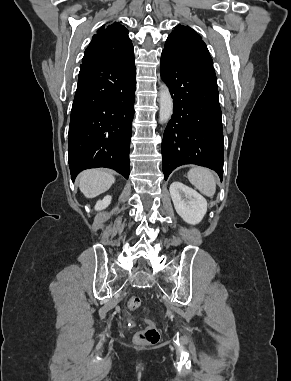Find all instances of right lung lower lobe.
Masks as SVG:
<instances>
[{
	"mask_svg": "<svg viewBox=\"0 0 291 381\" xmlns=\"http://www.w3.org/2000/svg\"><path fill=\"white\" fill-rule=\"evenodd\" d=\"M135 89L134 51L119 59L82 62L68 134L72 180L96 167L128 179Z\"/></svg>",
	"mask_w": 291,
	"mask_h": 381,
	"instance_id": "right-lung-lower-lobe-1",
	"label": "right lung lower lobe"
}]
</instances>
